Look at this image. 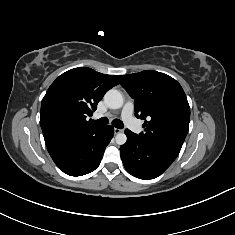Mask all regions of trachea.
<instances>
[{"label": "trachea", "instance_id": "trachea-1", "mask_svg": "<svg viewBox=\"0 0 235 235\" xmlns=\"http://www.w3.org/2000/svg\"><path fill=\"white\" fill-rule=\"evenodd\" d=\"M93 122L97 125H106V124H108V118L103 117L98 120H94ZM112 125L116 128H119V129H122L124 127L123 122L119 119H114L112 121Z\"/></svg>", "mask_w": 235, "mask_h": 235}]
</instances>
